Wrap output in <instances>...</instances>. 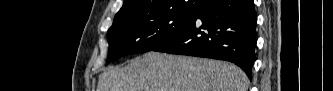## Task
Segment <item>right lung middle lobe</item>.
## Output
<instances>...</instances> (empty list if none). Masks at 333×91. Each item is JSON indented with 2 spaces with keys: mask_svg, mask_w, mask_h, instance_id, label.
Returning <instances> with one entry per match:
<instances>
[{
  "mask_svg": "<svg viewBox=\"0 0 333 91\" xmlns=\"http://www.w3.org/2000/svg\"><path fill=\"white\" fill-rule=\"evenodd\" d=\"M210 0L203 1L206 5ZM194 12H163L113 24L107 32L108 58L153 50L185 27Z\"/></svg>",
  "mask_w": 333,
  "mask_h": 91,
  "instance_id": "1",
  "label": "right lung middle lobe"
}]
</instances>
